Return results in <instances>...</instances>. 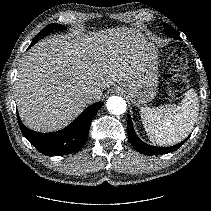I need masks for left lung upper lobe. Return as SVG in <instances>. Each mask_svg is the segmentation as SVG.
<instances>
[{
	"label": "left lung upper lobe",
	"instance_id": "1",
	"mask_svg": "<svg viewBox=\"0 0 211 211\" xmlns=\"http://www.w3.org/2000/svg\"><path fill=\"white\" fill-rule=\"evenodd\" d=\"M164 29H165V32L166 34L169 36V37H172L174 39H180L179 35L176 33V31L171 27L169 26L167 23L164 24Z\"/></svg>",
	"mask_w": 211,
	"mask_h": 211
}]
</instances>
